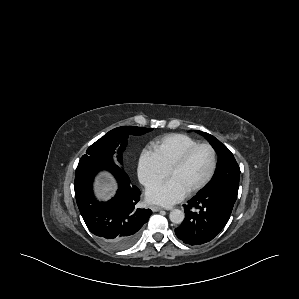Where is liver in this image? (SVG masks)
Wrapping results in <instances>:
<instances>
[{
  "label": "liver",
  "mask_w": 299,
  "mask_h": 299,
  "mask_svg": "<svg viewBox=\"0 0 299 299\" xmlns=\"http://www.w3.org/2000/svg\"><path fill=\"white\" fill-rule=\"evenodd\" d=\"M116 184L113 180L108 178H100L96 182L97 196L106 199L115 190Z\"/></svg>",
  "instance_id": "6515ba94"
}]
</instances>
